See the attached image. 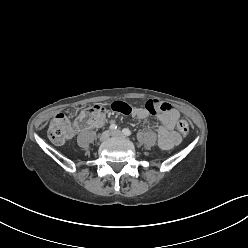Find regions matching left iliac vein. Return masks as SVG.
Returning <instances> with one entry per match:
<instances>
[{"mask_svg":"<svg viewBox=\"0 0 248 248\" xmlns=\"http://www.w3.org/2000/svg\"><path fill=\"white\" fill-rule=\"evenodd\" d=\"M111 135L114 136V137H123V134H122V132L120 130L112 131Z\"/></svg>","mask_w":248,"mask_h":248,"instance_id":"obj_1","label":"left iliac vein"}]
</instances>
